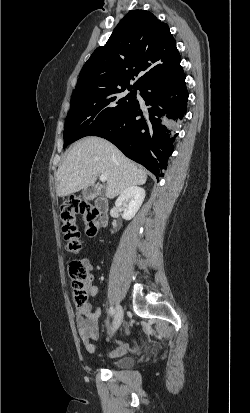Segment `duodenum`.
<instances>
[{
    "label": "duodenum",
    "mask_w": 250,
    "mask_h": 413,
    "mask_svg": "<svg viewBox=\"0 0 250 413\" xmlns=\"http://www.w3.org/2000/svg\"><path fill=\"white\" fill-rule=\"evenodd\" d=\"M95 208L98 215V221L102 227L106 226L108 222L109 206L104 198H97L95 201Z\"/></svg>",
    "instance_id": "410a0bca"
}]
</instances>
